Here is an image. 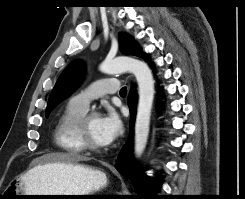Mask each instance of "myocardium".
I'll use <instances>...</instances> for the list:
<instances>
[{
    "label": "myocardium",
    "mask_w": 245,
    "mask_h": 199,
    "mask_svg": "<svg viewBox=\"0 0 245 199\" xmlns=\"http://www.w3.org/2000/svg\"><path fill=\"white\" fill-rule=\"evenodd\" d=\"M97 114L95 112H90V113H85L77 122V126H76V136L77 139L79 141V143L81 144V146L83 147L84 150L87 151H92V152H99L102 151L104 149L105 145H97L95 143H93L89 137L87 136L86 133V122L89 118L91 117H96Z\"/></svg>",
    "instance_id": "f54148a6"
}]
</instances>
